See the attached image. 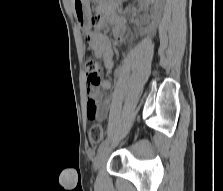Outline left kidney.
I'll return each instance as SVG.
<instances>
[{"label":"left kidney","instance_id":"1","mask_svg":"<svg viewBox=\"0 0 223 191\" xmlns=\"http://www.w3.org/2000/svg\"><path fill=\"white\" fill-rule=\"evenodd\" d=\"M164 0H140L139 5L144 9H151L153 21L149 27L150 30L155 28L156 22L161 16L163 10Z\"/></svg>","mask_w":223,"mask_h":191}]
</instances>
